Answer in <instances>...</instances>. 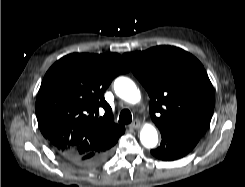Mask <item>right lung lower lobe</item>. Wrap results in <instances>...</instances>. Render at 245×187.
Returning <instances> with one entry per match:
<instances>
[{"label": "right lung lower lobe", "instance_id": "obj_1", "mask_svg": "<svg viewBox=\"0 0 245 187\" xmlns=\"http://www.w3.org/2000/svg\"><path fill=\"white\" fill-rule=\"evenodd\" d=\"M118 141V140H117ZM116 141V142H117ZM116 144V143H115ZM112 146L100 147L97 150L88 152L84 155H77L73 153L69 154H57L64 159L67 163L78 168H93L104 163L111 155Z\"/></svg>", "mask_w": 245, "mask_h": 187}]
</instances>
